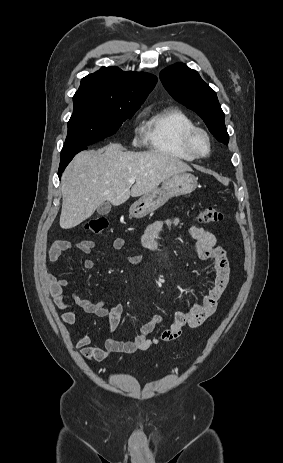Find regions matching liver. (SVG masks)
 <instances>
[{
    "label": "liver",
    "instance_id": "liver-1",
    "mask_svg": "<svg viewBox=\"0 0 283 463\" xmlns=\"http://www.w3.org/2000/svg\"><path fill=\"white\" fill-rule=\"evenodd\" d=\"M187 171L192 168L178 158L159 152H123L117 143L82 151L62 175L60 227L73 228L105 201L119 206L130 196H143L166 179ZM130 178L135 179L132 187Z\"/></svg>",
    "mask_w": 283,
    "mask_h": 463
}]
</instances>
